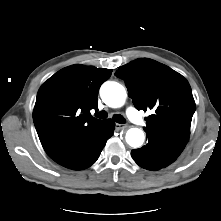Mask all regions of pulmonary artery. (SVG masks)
Returning <instances> with one entry per match:
<instances>
[{
  "label": "pulmonary artery",
  "instance_id": "1",
  "mask_svg": "<svg viewBox=\"0 0 221 221\" xmlns=\"http://www.w3.org/2000/svg\"><path fill=\"white\" fill-rule=\"evenodd\" d=\"M126 112L129 119L134 123L138 125H143L145 123L144 118L137 112L135 108L129 107Z\"/></svg>",
  "mask_w": 221,
  "mask_h": 221
}]
</instances>
